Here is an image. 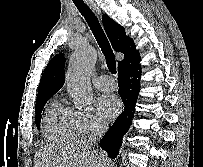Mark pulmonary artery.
Segmentation results:
<instances>
[{
    "mask_svg": "<svg viewBox=\"0 0 203 167\" xmlns=\"http://www.w3.org/2000/svg\"><path fill=\"white\" fill-rule=\"evenodd\" d=\"M93 84L96 88L102 91L112 90L116 86L114 80L108 75L96 77L93 80Z\"/></svg>",
    "mask_w": 203,
    "mask_h": 167,
    "instance_id": "1",
    "label": "pulmonary artery"
}]
</instances>
